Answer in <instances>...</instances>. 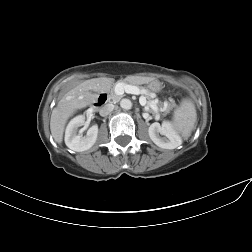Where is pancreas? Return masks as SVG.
Segmentation results:
<instances>
[{"label":"pancreas","instance_id":"1","mask_svg":"<svg viewBox=\"0 0 252 252\" xmlns=\"http://www.w3.org/2000/svg\"><path fill=\"white\" fill-rule=\"evenodd\" d=\"M118 84H122V83L117 82L116 85H118ZM139 88L143 89L144 92H145V91H148V92L151 93V95H155L153 92H151L150 90H148V89H146V88H144V87H139ZM110 96H111V99H112L113 101H118V100L121 98V96H119V95H117V94L115 93L114 89L111 90ZM162 103L167 104V105L169 106L170 110H171V109L173 108V106H174V104H172V103H170V102H167V101L162 102Z\"/></svg>","mask_w":252,"mask_h":252}]
</instances>
